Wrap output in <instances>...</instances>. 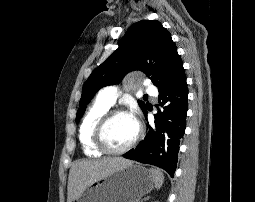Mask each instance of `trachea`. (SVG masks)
<instances>
[{"label": "trachea", "mask_w": 255, "mask_h": 202, "mask_svg": "<svg viewBox=\"0 0 255 202\" xmlns=\"http://www.w3.org/2000/svg\"><path fill=\"white\" fill-rule=\"evenodd\" d=\"M144 97H145V98H147V97H148V95H144Z\"/></svg>", "instance_id": "trachea-1"}]
</instances>
